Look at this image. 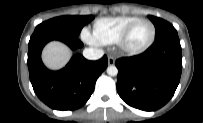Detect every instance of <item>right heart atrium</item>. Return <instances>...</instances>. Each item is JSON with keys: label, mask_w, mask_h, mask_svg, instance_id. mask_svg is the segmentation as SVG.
Wrapping results in <instances>:
<instances>
[{"label": "right heart atrium", "mask_w": 203, "mask_h": 123, "mask_svg": "<svg viewBox=\"0 0 203 123\" xmlns=\"http://www.w3.org/2000/svg\"><path fill=\"white\" fill-rule=\"evenodd\" d=\"M81 35L85 42L94 45L99 44V42L95 39L94 35H92L87 29H83Z\"/></svg>", "instance_id": "1"}]
</instances>
